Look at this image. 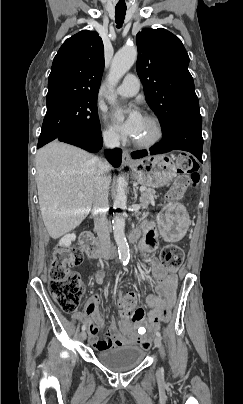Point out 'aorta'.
I'll return each instance as SVG.
<instances>
[{
	"label": "aorta",
	"instance_id": "762f6f07",
	"mask_svg": "<svg viewBox=\"0 0 243 404\" xmlns=\"http://www.w3.org/2000/svg\"><path fill=\"white\" fill-rule=\"evenodd\" d=\"M137 60V48L136 46H129V44H125L123 48H120L118 52H116L108 78V88L109 94L107 96V100L109 104H115L116 96L114 94V86H116L117 82L123 78L124 74L130 70L131 66H133L134 62ZM119 122H123L122 116L117 118ZM119 173V180H117L116 186V196L114 200L113 206V220H112V230L114 240L118 246L119 258L121 262H128L129 260V248L127 244V240L125 238V219L127 217V196L124 190L125 186V178L126 173Z\"/></svg>",
	"mask_w": 243,
	"mask_h": 404
}]
</instances>
